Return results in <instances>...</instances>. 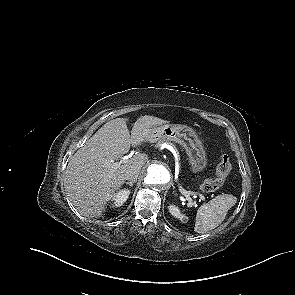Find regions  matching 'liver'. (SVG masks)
Segmentation results:
<instances>
[{
  "instance_id": "6515ba94",
  "label": "liver",
  "mask_w": 295,
  "mask_h": 295,
  "mask_svg": "<svg viewBox=\"0 0 295 295\" xmlns=\"http://www.w3.org/2000/svg\"><path fill=\"white\" fill-rule=\"evenodd\" d=\"M126 118H116L104 124L70 158L65 171V189L75 208L86 217H100L114 192L124 184L129 169L141 170L148 161L146 154H136L112 168L115 161L126 154L131 144L138 146L148 141L150 131L167 121L149 115L134 123L131 136ZM116 163V162H114Z\"/></svg>"
}]
</instances>
